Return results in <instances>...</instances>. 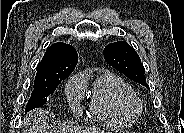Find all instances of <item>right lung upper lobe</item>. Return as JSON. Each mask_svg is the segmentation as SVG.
<instances>
[{
	"instance_id": "cb5924a9",
	"label": "right lung upper lobe",
	"mask_w": 184,
	"mask_h": 133,
	"mask_svg": "<svg viewBox=\"0 0 184 133\" xmlns=\"http://www.w3.org/2000/svg\"><path fill=\"white\" fill-rule=\"evenodd\" d=\"M78 55L73 46L58 42L49 46L37 65L34 86H46L55 79H66L74 71Z\"/></svg>"
}]
</instances>
